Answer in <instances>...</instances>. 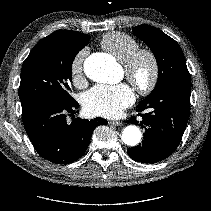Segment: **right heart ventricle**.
Listing matches in <instances>:
<instances>
[{"mask_svg":"<svg viewBox=\"0 0 211 211\" xmlns=\"http://www.w3.org/2000/svg\"><path fill=\"white\" fill-rule=\"evenodd\" d=\"M101 47L121 62H124L137 48L138 41L123 32H110L101 39Z\"/></svg>","mask_w":211,"mask_h":211,"instance_id":"right-heart-ventricle-1","label":"right heart ventricle"}]
</instances>
